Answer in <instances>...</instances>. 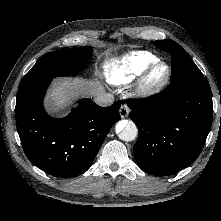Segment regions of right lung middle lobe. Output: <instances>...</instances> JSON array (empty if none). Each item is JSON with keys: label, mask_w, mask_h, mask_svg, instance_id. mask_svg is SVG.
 I'll use <instances>...</instances> for the list:
<instances>
[{"label": "right lung middle lobe", "mask_w": 221, "mask_h": 221, "mask_svg": "<svg viewBox=\"0 0 221 221\" xmlns=\"http://www.w3.org/2000/svg\"><path fill=\"white\" fill-rule=\"evenodd\" d=\"M91 52L92 48L89 46L49 52L24 76L19 88L57 76H76L90 58Z\"/></svg>", "instance_id": "1"}]
</instances>
